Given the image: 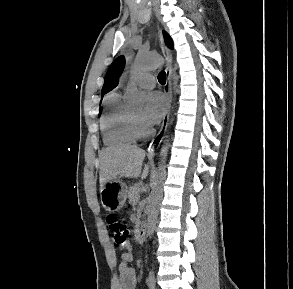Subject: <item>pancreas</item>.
<instances>
[{
	"mask_svg": "<svg viewBox=\"0 0 293 289\" xmlns=\"http://www.w3.org/2000/svg\"><path fill=\"white\" fill-rule=\"evenodd\" d=\"M140 190V184H135L134 186L130 187L128 192V198L132 204H136V202L138 201Z\"/></svg>",
	"mask_w": 293,
	"mask_h": 289,
	"instance_id": "obj_1",
	"label": "pancreas"
}]
</instances>
